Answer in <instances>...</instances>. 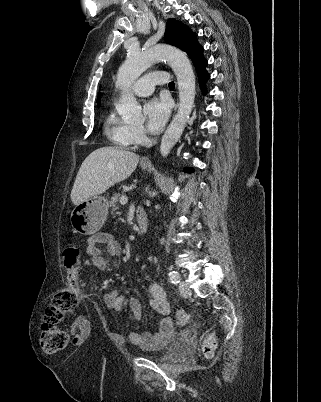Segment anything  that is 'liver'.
Returning <instances> with one entry per match:
<instances>
[{"instance_id": "6515ba94", "label": "liver", "mask_w": 321, "mask_h": 402, "mask_svg": "<svg viewBox=\"0 0 321 402\" xmlns=\"http://www.w3.org/2000/svg\"><path fill=\"white\" fill-rule=\"evenodd\" d=\"M139 156L117 147H101L83 161L72 191L71 200L77 205L128 178L136 169Z\"/></svg>"}]
</instances>
